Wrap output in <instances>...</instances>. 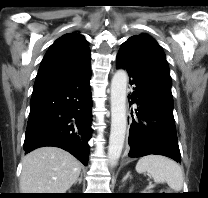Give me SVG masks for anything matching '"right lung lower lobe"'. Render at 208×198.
<instances>
[{"mask_svg":"<svg viewBox=\"0 0 208 198\" xmlns=\"http://www.w3.org/2000/svg\"><path fill=\"white\" fill-rule=\"evenodd\" d=\"M91 69L63 85L33 92L24 141L25 154L54 146L88 163L92 129Z\"/></svg>","mask_w":208,"mask_h":198,"instance_id":"1","label":"right lung lower lobe"}]
</instances>
